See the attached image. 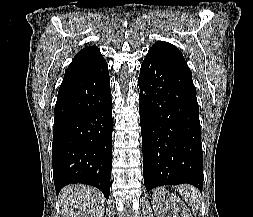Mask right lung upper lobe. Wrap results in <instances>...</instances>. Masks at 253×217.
Here are the masks:
<instances>
[{"label":"right lung upper lobe","instance_id":"cb5924a9","mask_svg":"<svg viewBox=\"0 0 253 217\" xmlns=\"http://www.w3.org/2000/svg\"><path fill=\"white\" fill-rule=\"evenodd\" d=\"M104 61L100 50L96 46H89L82 49L72 60L65 72V76H71L86 71Z\"/></svg>","mask_w":253,"mask_h":217}]
</instances>
